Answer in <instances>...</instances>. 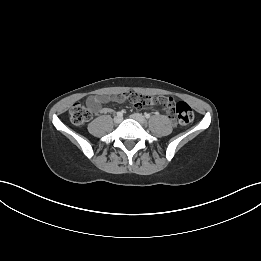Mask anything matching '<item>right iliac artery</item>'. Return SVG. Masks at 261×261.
I'll list each match as a JSON object with an SVG mask.
<instances>
[{"instance_id":"obj_1","label":"right iliac artery","mask_w":261,"mask_h":261,"mask_svg":"<svg viewBox=\"0 0 261 261\" xmlns=\"http://www.w3.org/2000/svg\"><path fill=\"white\" fill-rule=\"evenodd\" d=\"M117 115H118V116H122L123 113H122V112H117Z\"/></svg>"}]
</instances>
